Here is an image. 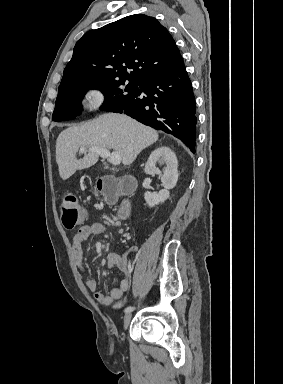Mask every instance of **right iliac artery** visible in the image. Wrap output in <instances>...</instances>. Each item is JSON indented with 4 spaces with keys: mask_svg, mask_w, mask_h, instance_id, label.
<instances>
[{
    "mask_svg": "<svg viewBox=\"0 0 283 384\" xmlns=\"http://www.w3.org/2000/svg\"><path fill=\"white\" fill-rule=\"evenodd\" d=\"M134 310V307L132 306H128L126 309H125V313L127 312H132Z\"/></svg>",
    "mask_w": 283,
    "mask_h": 384,
    "instance_id": "right-iliac-artery-1",
    "label": "right iliac artery"
}]
</instances>
